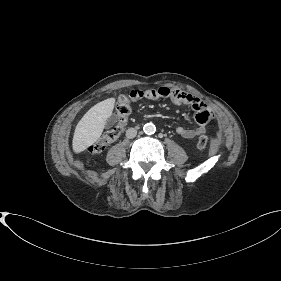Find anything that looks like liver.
Returning <instances> with one entry per match:
<instances>
[{"label":"liver","mask_w":281,"mask_h":281,"mask_svg":"<svg viewBox=\"0 0 281 281\" xmlns=\"http://www.w3.org/2000/svg\"><path fill=\"white\" fill-rule=\"evenodd\" d=\"M115 98L103 100L91 107L78 122L73 135L72 148L81 153L101 136L107 119L112 115Z\"/></svg>","instance_id":"1"}]
</instances>
